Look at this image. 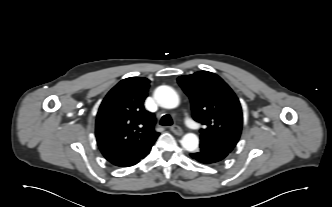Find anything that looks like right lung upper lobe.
I'll use <instances>...</instances> for the list:
<instances>
[{
    "instance_id": "1",
    "label": "right lung upper lobe",
    "mask_w": 332,
    "mask_h": 207,
    "mask_svg": "<svg viewBox=\"0 0 332 207\" xmlns=\"http://www.w3.org/2000/svg\"><path fill=\"white\" fill-rule=\"evenodd\" d=\"M150 81L130 77L113 87L96 117V139L104 157L113 165L129 167L149 154L159 136L155 117L144 109Z\"/></svg>"
}]
</instances>
